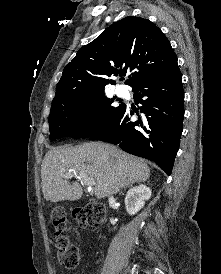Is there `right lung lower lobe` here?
<instances>
[{
    "instance_id": "1",
    "label": "right lung lower lobe",
    "mask_w": 221,
    "mask_h": 274,
    "mask_svg": "<svg viewBox=\"0 0 221 274\" xmlns=\"http://www.w3.org/2000/svg\"><path fill=\"white\" fill-rule=\"evenodd\" d=\"M132 88L145 115L132 121L129 113L133 112L123 104L115 119L90 138L117 144L130 154L154 161L170 175L184 118L182 74L177 59Z\"/></svg>"
}]
</instances>
